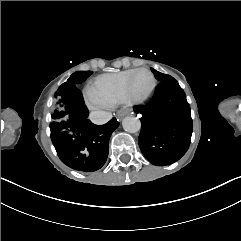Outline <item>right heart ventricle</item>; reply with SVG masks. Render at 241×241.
Here are the masks:
<instances>
[{
  "label": "right heart ventricle",
  "instance_id": "obj_1",
  "mask_svg": "<svg viewBox=\"0 0 241 241\" xmlns=\"http://www.w3.org/2000/svg\"><path fill=\"white\" fill-rule=\"evenodd\" d=\"M132 72L134 71L102 74L96 77L86 88V98L101 101L110 107L130 99L134 93L126 94L127 85L125 80ZM134 80L136 78L132 81Z\"/></svg>",
  "mask_w": 241,
  "mask_h": 241
}]
</instances>
